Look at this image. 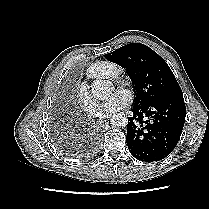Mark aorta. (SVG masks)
I'll use <instances>...</instances> for the list:
<instances>
[{"mask_svg":"<svg viewBox=\"0 0 209 209\" xmlns=\"http://www.w3.org/2000/svg\"><path fill=\"white\" fill-rule=\"evenodd\" d=\"M111 94V87L105 81H96L92 85V95L95 99L104 100ZM111 124L117 127H125L128 124V118L123 113L116 114L111 119Z\"/></svg>","mask_w":209,"mask_h":209,"instance_id":"obj_1","label":"aorta"}]
</instances>
